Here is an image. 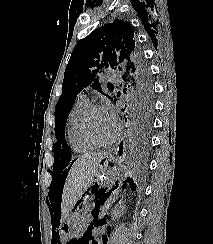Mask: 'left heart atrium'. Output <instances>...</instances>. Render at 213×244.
<instances>
[{"instance_id":"39dd6f15","label":"left heart atrium","mask_w":213,"mask_h":244,"mask_svg":"<svg viewBox=\"0 0 213 244\" xmlns=\"http://www.w3.org/2000/svg\"><path fill=\"white\" fill-rule=\"evenodd\" d=\"M108 114L114 120V116L112 115V113L108 112Z\"/></svg>"}]
</instances>
